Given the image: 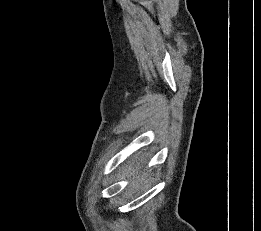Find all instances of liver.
I'll return each instance as SVG.
<instances>
[{
	"mask_svg": "<svg viewBox=\"0 0 261 231\" xmlns=\"http://www.w3.org/2000/svg\"><path fill=\"white\" fill-rule=\"evenodd\" d=\"M139 169H140L139 166L136 169H134L132 167H128L127 170L125 171V176L134 175Z\"/></svg>",
	"mask_w": 261,
	"mask_h": 231,
	"instance_id": "1",
	"label": "liver"
}]
</instances>
